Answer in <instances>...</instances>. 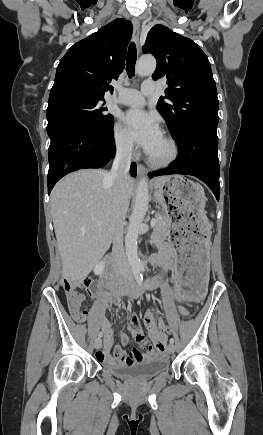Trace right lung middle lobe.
Masks as SVG:
<instances>
[{
	"label": "right lung middle lobe",
	"mask_w": 263,
	"mask_h": 435,
	"mask_svg": "<svg viewBox=\"0 0 263 435\" xmlns=\"http://www.w3.org/2000/svg\"><path fill=\"white\" fill-rule=\"evenodd\" d=\"M103 99H77L61 102L47 108L48 135L58 125L82 124L97 131L113 127V116L102 107Z\"/></svg>",
	"instance_id": "1"
}]
</instances>
